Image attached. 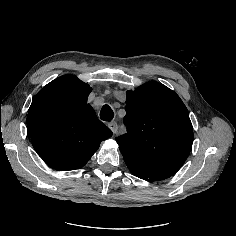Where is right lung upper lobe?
<instances>
[{
    "mask_svg": "<svg viewBox=\"0 0 236 236\" xmlns=\"http://www.w3.org/2000/svg\"><path fill=\"white\" fill-rule=\"evenodd\" d=\"M91 88L74 75L48 83L33 99L27 115V132L38 155L59 171L84 166L111 137V130L87 104Z\"/></svg>",
    "mask_w": 236,
    "mask_h": 236,
    "instance_id": "cb5924a9",
    "label": "right lung upper lobe"
}]
</instances>
